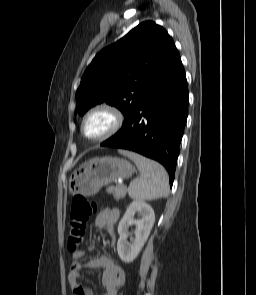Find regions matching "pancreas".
I'll use <instances>...</instances> for the list:
<instances>
[{"label":"pancreas","mask_w":256,"mask_h":295,"mask_svg":"<svg viewBox=\"0 0 256 295\" xmlns=\"http://www.w3.org/2000/svg\"><path fill=\"white\" fill-rule=\"evenodd\" d=\"M107 191L108 193H112L116 200L124 198L127 193V189L123 185L111 186Z\"/></svg>","instance_id":"1"}]
</instances>
